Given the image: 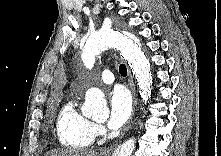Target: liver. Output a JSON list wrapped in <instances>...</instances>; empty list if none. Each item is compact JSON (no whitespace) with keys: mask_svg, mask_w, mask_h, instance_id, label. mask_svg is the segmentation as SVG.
<instances>
[{"mask_svg":"<svg viewBox=\"0 0 221 156\" xmlns=\"http://www.w3.org/2000/svg\"><path fill=\"white\" fill-rule=\"evenodd\" d=\"M44 156H98V153L92 149H54Z\"/></svg>","mask_w":221,"mask_h":156,"instance_id":"6515ba94","label":"liver"}]
</instances>
